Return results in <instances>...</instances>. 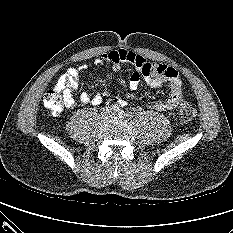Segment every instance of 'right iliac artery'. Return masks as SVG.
I'll list each match as a JSON object with an SVG mask.
<instances>
[{"label":"right iliac artery","mask_w":233,"mask_h":233,"mask_svg":"<svg viewBox=\"0 0 233 233\" xmlns=\"http://www.w3.org/2000/svg\"><path fill=\"white\" fill-rule=\"evenodd\" d=\"M111 110L114 111V112L119 111V110H120L119 105L113 104V105L111 106Z\"/></svg>","instance_id":"1"}]
</instances>
